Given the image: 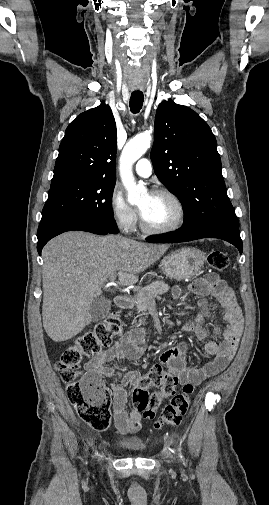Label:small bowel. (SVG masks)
I'll return each instance as SVG.
<instances>
[{
  "instance_id": "1",
  "label": "small bowel",
  "mask_w": 269,
  "mask_h": 505,
  "mask_svg": "<svg viewBox=\"0 0 269 505\" xmlns=\"http://www.w3.org/2000/svg\"><path fill=\"white\" fill-rule=\"evenodd\" d=\"M189 290L201 298L199 301L200 310L185 324V329L194 332L199 340H203L207 336L209 331L206 321L210 317V310L204 298L211 296L220 305L225 321L224 328L216 326L212 329V334L215 338L222 340L220 342L212 340L204 344L205 353L212 356L213 359L201 367L188 366L185 343H180L163 352L160 362L153 367L161 369L166 367L168 374L174 376L181 385L187 383L199 385L224 370L232 360L242 334L243 317L232 290L217 273L208 272L204 277L192 282ZM178 292L179 290L175 289V293ZM140 333V329H134L105 351L90 359L85 364L87 373L106 378L118 375L116 366L108 365V363L114 359L140 357L144 351V345L134 340ZM139 379L137 372H129L121 377L119 384L112 386L114 423L121 434L136 433L142 427L141 413L136 409L129 412L125 409L128 398L125 387L128 384H137Z\"/></svg>"
}]
</instances>
